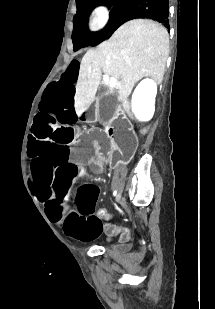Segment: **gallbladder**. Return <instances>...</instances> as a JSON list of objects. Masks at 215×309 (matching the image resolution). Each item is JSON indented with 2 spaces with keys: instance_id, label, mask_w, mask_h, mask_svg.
<instances>
[{
  "instance_id": "bac80fb5",
  "label": "gallbladder",
  "mask_w": 215,
  "mask_h": 309,
  "mask_svg": "<svg viewBox=\"0 0 215 309\" xmlns=\"http://www.w3.org/2000/svg\"><path fill=\"white\" fill-rule=\"evenodd\" d=\"M117 106L118 100L114 92H107L105 96L99 98L98 110H100L105 120H108V118H111L115 114Z\"/></svg>"
}]
</instances>
